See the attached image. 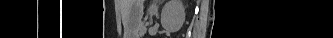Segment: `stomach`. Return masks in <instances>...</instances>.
Returning a JSON list of instances; mask_svg holds the SVG:
<instances>
[{"label":"stomach","mask_w":333,"mask_h":38,"mask_svg":"<svg viewBox=\"0 0 333 38\" xmlns=\"http://www.w3.org/2000/svg\"><path fill=\"white\" fill-rule=\"evenodd\" d=\"M142 2H143L142 0L137 1L136 12H135V15L133 17L136 28H139L141 23H142V16H143Z\"/></svg>","instance_id":"obj_1"}]
</instances>
